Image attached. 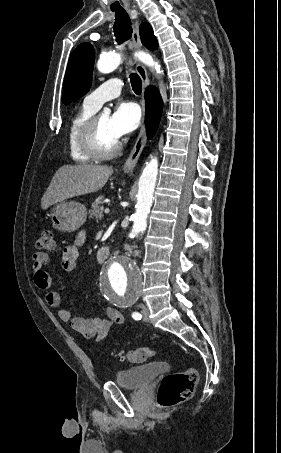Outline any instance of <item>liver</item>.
Masks as SVG:
<instances>
[{
  "label": "liver",
  "mask_w": 281,
  "mask_h": 453,
  "mask_svg": "<svg viewBox=\"0 0 281 453\" xmlns=\"http://www.w3.org/2000/svg\"><path fill=\"white\" fill-rule=\"evenodd\" d=\"M113 172V166L103 164H63L55 172L46 192L41 198V208H48L55 202L65 198H73L79 194L97 192L106 184Z\"/></svg>",
  "instance_id": "1"
}]
</instances>
